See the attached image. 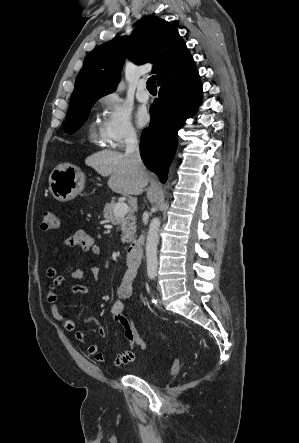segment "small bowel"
<instances>
[{"label": "small bowel", "mask_w": 299, "mask_h": 443, "mask_svg": "<svg viewBox=\"0 0 299 443\" xmlns=\"http://www.w3.org/2000/svg\"><path fill=\"white\" fill-rule=\"evenodd\" d=\"M63 244L67 247L80 248L83 252H92L93 254L99 253V247L96 244L95 239L84 230L75 231L72 235H70L63 241ZM54 254L59 255L60 248H56L54 250ZM138 268L139 266L133 267L129 264L127 265V269L117 289L118 299L117 301H115L110 310L111 318L121 326L124 332V336L129 343L127 350L123 354L116 356L112 360V364L116 367L129 364L136 359V346L129 340L127 336L126 329L123 324V318L126 316L125 300H127L132 295L133 284L138 273ZM87 270L93 275L95 280L98 279L99 269L94 263H89L87 265ZM46 274L48 278L52 280L46 296L47 302L50 305L52 316L56 320L61 322V324L67 331L74 332V338L77 342L86 345L87 339L85 332L80 329H76L75 322L67 314L62 312L58 305V289L64 284L66 277L59 273L58 267L56 265L49 266ZM87 276V271L79 268H74L68 273V277L74 280H85L87 279ZM71 292L73 294H92L91 290L87 286L80 284L73 285L71 287ZM85 321L87 323H94L98 327V333L100 334V336H106V330L97 318L89 317ZM87 350L88 353L98 362H106V356L97 345L90 344L88 345Z\"/></svg>", "instance_id": "obj_1"}]
</instances>
